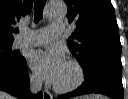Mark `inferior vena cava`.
Masks as SVG:
<instances>
[{
	"instance_id": "602c4592",
	"label": "inferior vena cava",
	"mask_w": 128,
	"mask_h": 99,
	"mask_svg": "<svg viewBox=\"0 0 128 99\" xmlns=\"http://www.w3.org/2000/svg\"><path fill=\"white\" fill-rule=\"evenodd\" d=\"M42 80L36 77L30 79V90L32 93H37L41 90Z\"/></svg>"
}]
</instances>
